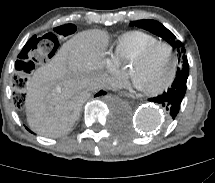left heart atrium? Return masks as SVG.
I'll list each match as a JSON object with an SVG mask.
<instances>
[{
	"label": "left heart atrium",
	"mask_w": 215,
	"mask_h": 183,
	"mask_svg": "<svg viewBox=\"0 0 215 183\" xmlns=\"http://www.w3.org/2000/svg\"><path fill=\"white\" fill-rule=\"evenodd\" d=\"M134 83H135V85H136L138 88H142L141 85L139 84V82H138L136 79H134Z\"/></svg>",
	"instance_id": "39dd6f15"
}]
</instances>
